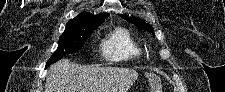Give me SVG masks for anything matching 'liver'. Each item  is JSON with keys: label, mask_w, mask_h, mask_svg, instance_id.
<instances>
[{"label": "liver", "mask_w": 225, "mask_h": 92, "mask_svg": "<svg viewBox=\"0 0 225 92\" xmlns=\"http://www.w3.org/2000/svg\"><path fill=\"white\" fill-rule=\"evenodd\" d=\"M137 78L134 69L85 67L63 59L50 66L44 92H127Z\"/></svg>", "instance_id": "liver-1"}]
</instances>
